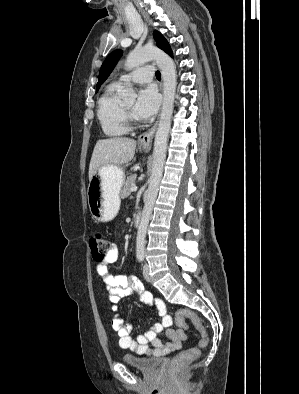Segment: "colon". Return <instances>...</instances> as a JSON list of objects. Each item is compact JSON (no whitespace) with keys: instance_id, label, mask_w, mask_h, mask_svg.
<instances>
[{"instance_id":"5ec220e1","label":"colon","mask_w":299,"mask_h":394,"mask_svg":"<svg viewBox=\"0 0 299 394\" xmlns=\"http://www.w3.org/2000/svg\"><path fill=\"white\" fill-rule=\"evenodd\" d=\"M89 245L93 258L95 260L102 261L107 256L112 244L107 235L101 232H94L89 237ZM184 318H189L201 331V338L199 339L196 347H191L172 358L169 363V370L172 372L177 371L197 359L200 355L201 349L207 347L209 343V338L202 326L201 318L193 311L186 309L176 312L177 323L185 326Z\"/></svg>"}]
</instances>
